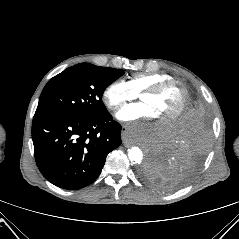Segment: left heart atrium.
I'll list each match as a JSON object with an SVG mask.
<instances>
[{
	"label": "left heart atrium",
	"instance_id": "obj_1",
	"mask_svg": "<svg viewBox=\"0 0 239 239\" xmlns=\"http://www.w3.org/2000/svg\"><path fill=\"white\" fill-rule=\"evenodd\" d=\"M117 118L123 122L131 123L138 120H151L154 119V114L150 107L144 102L132 103L122 108ZM142 126L135 128L136 131H141Z\"/></svg>",
	"mask_w": 239,
	"mask_h": 239
}]
</instances>
